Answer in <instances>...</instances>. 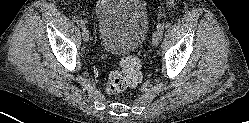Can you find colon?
<instances>
[{
    "instance_id": "5ec220e1",
    "label": "colon",
    "mask_w": 249,
    "mask_h": 123,
    "mask_svg": "<svg viewBox=\"0 0 249 123\" xmlns=\"http://www.w3.org/2000/svg\"><path fill=\"white\" fill-rule=\"evenodd\" d=\"M141 81V65L135 56H126L120 61V69L113 71L108 78L106 91L116 94Z\"/></svg>"
}]
</instances>
